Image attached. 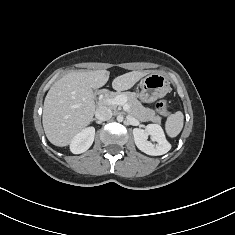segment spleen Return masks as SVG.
Segmentation results:
<instances>
[{
    "instance_id": "1",
    "label": "spleen",
    "mask_w": 235,
    "mask_h": 235,
    "mask_svg": "<svg viewBox=\"0 0 235 235\" xmlns=\"http://www.w3.org/2000/svg\"><path fill=\"white\" fill-rule=\"evenodd\" d=\"M184 115L181 111L170 115L165 123V130L169 137H176L182 130Z\"/></svg>"
}]
</instances>
